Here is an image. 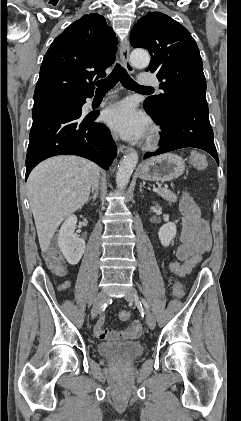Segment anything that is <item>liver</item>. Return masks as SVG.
<instances>
[{
    "label": "liver",
    "instance_id": "1",
    "mask_svg": "<svg viewBox=\"0 0 241 421\" xmlns=\"http://www.w3.org/2000/svg\"><path fill=\"white\" fill-rule=\"evenodd\" d=\"M99 171L95 163L69 155L49 158L33 169L27 191L42 252L61 222L86 203Z\"/></svg>",
    "mask_w": 241,
    "mask_h": 421
}]
</instances>
